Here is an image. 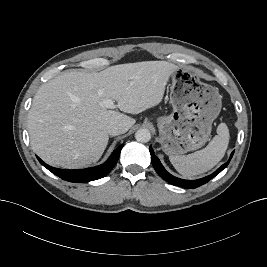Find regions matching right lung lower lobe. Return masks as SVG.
<instances>
[{
  "label": "right lung lower lobe",
  "mask_w": 267,
  "mask_h": 267,
  "mask_svg": "<svg viewBox=\"0 0 267 267\" xmlns=\"http://www.w3.org/2000/svg\"><path fill=\"white\" fill-rule=\"evenodd\" d=\"M122 147L123 145H120L104 164L87 169H58L47 165L39 157L37 158L43 166H45L49 171L62 178L63 180L81 183L105 177L117 163Z\"/></svg>",
  "instance_id": "98d812e1"
}]
</instances>
